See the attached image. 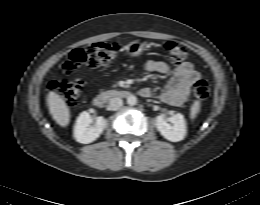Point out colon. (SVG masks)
I'll return each instance as SVG.
<instances>
[{"mask_svg":"<svg viewBox=\"0 0 260 205\" xmlns=\"http://www.w3.org/2000/svg\"><path fill=\"white\" fill-rule=\"evenodd\" d=\"M164 52L174 64H180L188 55L187 49L175 42H167ZM118 54V46L111 42H97L77 48L71 52L69 58L61 66V72L71 75L83 66L94 69L105 66L114 61ZM80 79L60 78L52 80L49 88L61 94L70 104H76L82 92ZM194 95L201 100L208 98L210 86L204 79H199L193 86Z\"/></svg>","mask_w":260,"mask_h":205,"instance_id":"5ec220e1","label":"colon"}]
</instances>
